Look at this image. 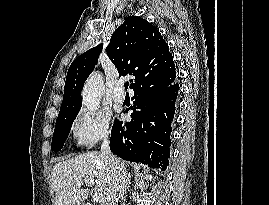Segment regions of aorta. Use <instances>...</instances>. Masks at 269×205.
<instances>
[{
	"label": "aorta",
	"mask_w": 269,
	"mask_h": 205,
	"mask_svg": "<svg viewBox=\"0 0 269 205\" xmlns=\"http://www.w3.org/2000/svg\"><path fill=\"white\" fill-rule=\"evenodd\" d=\"M103 89L101 76L97 73L91 75L82 91L83 105L88 112L94 113L98 110Z\"/></svg>",
	"instance_id": "aorta-1"
}]
</instances>
